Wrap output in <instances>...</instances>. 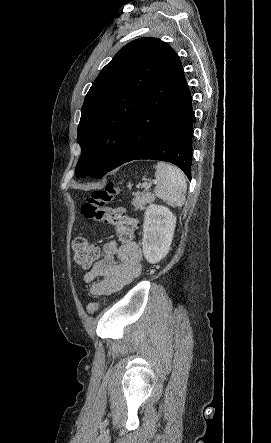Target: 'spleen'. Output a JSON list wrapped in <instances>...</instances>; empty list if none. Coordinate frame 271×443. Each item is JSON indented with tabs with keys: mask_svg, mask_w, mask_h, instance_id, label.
<instances>
[{
	"mask_svg": "<svg viewBox=\"0 0 271 443\" xmlns=\"http://www.w3.org/2000/svg\"><path fill=\"white\" fill-rule=\"evenodd\" d=\"M154 168L157 180L155 196L164 202H169L171 206H178V208L184 206L187 186L183 172L164 162H158Z\"/></svg>",
	"mask_w": 271,
	"mask_h": 443,
	"instance_id": "3e777b00",
	"label": "spleen"
}]
</instances>
